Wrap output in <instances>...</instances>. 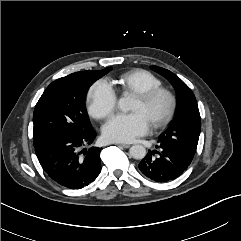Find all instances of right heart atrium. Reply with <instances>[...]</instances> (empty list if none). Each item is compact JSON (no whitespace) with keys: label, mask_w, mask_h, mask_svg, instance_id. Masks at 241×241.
<instances>
[{"label":"right heart atrium","mask_w":241,"mask_h":241,"mask_svg":"<svg viewBox=\"0 0 241 241\" xmlns=\"http://www.w3.org/2000/svg\"><path fill=\"white\" fill-rule=\"evenodd\" d=\"M88 109L91 116L96 119H105L117 107V94L111 84L105 80H97L87 94Z\"/></svg>","instance_id":"right-heart-atrium-1"}]
</instances>
